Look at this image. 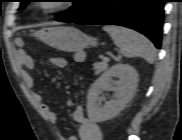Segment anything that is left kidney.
Masks as SVG:
<instances>
[{"instance_id": "1", "label": "left kidney", "mask_w": 182, "mask_h": 140, "mask_svg": "<svg viewBox=\"0 0 182 140\" xmlns=\"http://www.w3.org/2000/svg\"><path fill=\"white\" fill-rule=\"evenodd\" d=\"M118 77V81L113 78ZM139 81L137 71L130 65L118 63L104 72L91 86L87 95V114L94 122H103L118 115L132 99ZM102 91H113L115 99L99 104Z\"/></svg>"}]
</instances>
